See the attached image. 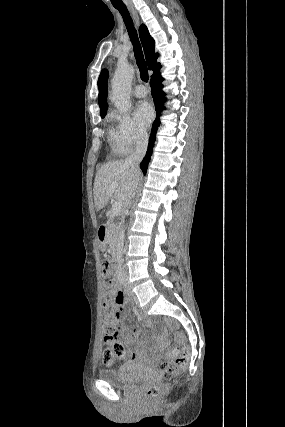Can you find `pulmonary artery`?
<instances>
[{
    "label": "pulmonary artery",
    "instance_id": "pulmonary-artery-1",
    "mask_svg": "<svg viewBox=\"0 0 285 427\" xmlns=\"http://www.w3.org/2000/svg\"><path fill=\"white\" fill-rule=\"evenodd\" d=\"M133 94L138 98L145 97L147 95V89L141 84L136 85L134 87Z\"/></svg>",
    "mask_w": 285,
    "mask_h": 427
}]
</instances>
